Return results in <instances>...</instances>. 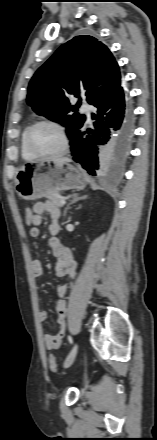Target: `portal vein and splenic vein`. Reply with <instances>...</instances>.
<instances>
[{
  "mask_svg": "<svg viewBox=\"0 0 157 440\" xmlns=\"http://www.w3.org/2000/svg\"><path fill=\"white\" fill-rule=\"evenodd\" d=\"M60 203L64 205L66 203L65 199H61Z\"/></svg>",
  "mask_w": 157,
  "mask_h": 440,
  "instance_id": "obj_1",
  "label": "portal vein and splenic vein"
}]
</instances>
